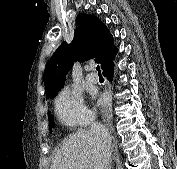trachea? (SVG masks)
Masks as SVG:
<instances>
[{"instance_id": "3493384b", "label": "trachea", "mask_w": 177, "mask_h": 169, "mask_svg": "<svg viewBox=\"0 0 177 169\" xmlns=\"http://www.w3.org/2000/svg\"><path fill=\"white\" fill-rule=\"evenodd\" d=\"M96 70L98 71V73H101L99 65L96 67Z\"/></svg>"}]
</instances>
